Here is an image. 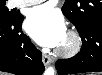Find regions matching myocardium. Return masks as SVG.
I'll use <instances>...</instances> for the list:
<instances>
[{
  "mask_svg": "<svg viewBox=\"0 0 102 75\" xmlns=\"http://www.w3.org/2000/svg\"><path fill=\"white\" fill-rule=\"evenodd\" d=\"M66 44L58 48V54L63 57H72L76 55L82 47V39L75 30H69L66 33Z\"/></svg>",
  "mask_w": 102,
  "mask_h": 75,
  "instance_id": "f54148a6",
  "label": "myocardium"
}]
</instances>
